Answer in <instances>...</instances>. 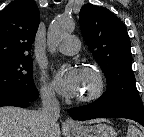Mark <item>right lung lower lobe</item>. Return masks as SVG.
Masks as SVG:
<instances>
[{
	"mask_svg": "<svg viewBox=\"0 0 144 137\" xmlns=\"http://www.w3.org/2000/svg\"><path fill=\"white\" fill-rule=\"evenodd\" d=\"M30 101H34V99H27L15 94H0V106H17L26 108L29 106Z\"/></svg>",
	"mask_w": 144,
	"mask_h": 137,
	"instance_id": "98d812e1",
	"label": "right lung lower lobe"
}]
</instances>
